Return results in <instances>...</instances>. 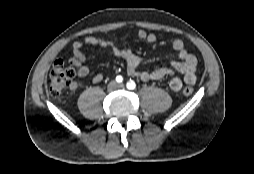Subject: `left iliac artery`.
Instances as JSON below:
<instances>
[{
    "label": "left iliac artery",
    "instance_id": "1",
    "mask_svg": "<svg viewBox=\"0 0 254 174\" xmlns=\"http://www.w3.org/2000/svg\"><path fill=\"white\" fill-rule=\"evenodd\" d=\"M126 86L129 90H133V89H135L136 84L133 80H130L129 82H127Z\"/></svg>",
    "mask_w": 254,
    "mask_h": 174
}]
</instances>
